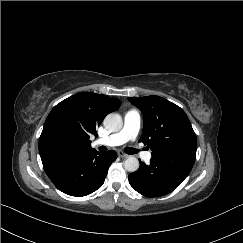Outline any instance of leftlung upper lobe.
Instances as JSON below:
<instances>
[{"label": "left lung upper lobe", "mask_w": 243, "mask_h": 243, "mask_svg": "<svg viewBox=\"0 0 243 243\" xmlns=\"http://www.w3.org/2000/svg\"><path fill=\"white\" fill-rule=\"evenodd\" d=\"M143 113L144 127L139 142L152 156L174 150L197 149V139L185 112L159 96L128 98Z\"/></svg>", "instance_id": "5c2ea615"}]
</instances>
